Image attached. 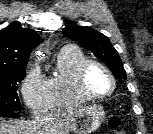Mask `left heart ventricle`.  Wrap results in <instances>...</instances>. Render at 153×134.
<instances>
[{"instance_id":"left-heart-ventricle-1","label":"left heart ventricle","mask_w":153,"mask_h":134,"mask_svg":"<svg viewBox=\"0 0 153 134\" xmlns=\"http://www.w3.org/2000/svg\"><path fill=\"white\" fill-rule=\"evenodd\" d=\"M86 85L91 93L103 94L111 89L112 82L102 69L94 66L88 71Z\"/></svg>"}]
</instances>
